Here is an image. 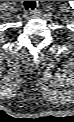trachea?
<instances>
[{"label":"trachea","mask_w":74,"mask_h":122,"mask_svg":"<svg viewBox=\"0 0 74 122\" xmlns=\"http://www.w3.org/2000/svg\"><path fill=\"white\" fill-rule=\"evenodd\" d=\"M24 7L26 10H34L36 7V1H24Z\"/></svg>","instance_id":"trachea-1"}]
</instances>
